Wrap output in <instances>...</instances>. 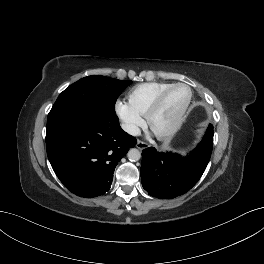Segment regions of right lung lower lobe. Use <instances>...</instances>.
<instances>
[{
  "mask_svg": "<svg viewBox=\"0 0 264 264\" xmlns=\"http://www.w3.org/2000/svg\"><path fill=\"white\" fill-rule=\"evenodd\" d=\"M136 143L115 113L94 108L79 109L46 132L55 174L72 193L87 198L109 191L116 165Z\"/></svg>",
  "mask_w": 264,
  "mask_h": 264,
  "instance_id": "1",
  "label": "right lung lower lobe"
}]
</instances>
